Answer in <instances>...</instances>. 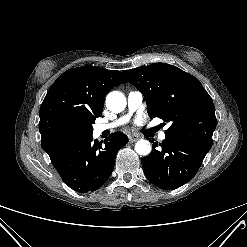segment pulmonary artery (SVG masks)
<instances>
[{"label":"pulmonary artery","instance_id":"1","mask_svg":"<svg viewBox=\"0 0 247 247\" xmlns=\"http://www.w3.org/2000/svg\"><path fill=\"white\" fill-rule=\"evenodd\" d=\"M143 104V94L138 90L130 91L127 95V106L128 113L110 123L98 124L95 126V132L100 134L105 130H111L115 127L125 124L131 115L141 108ZM160 140H164L166 138V134L164 131L160 132L158 135Z\"/></svg>","mask_w":247,"mask_h":247}]
</instances>
